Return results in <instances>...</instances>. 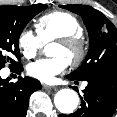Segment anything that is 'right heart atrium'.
Masks as SVG:
<instances>
[{"label": "right heart atrium", "mask_w": 117, "mask_h": 117, "mask_svg": "<svg viewBox=\"0 0 117 117\" xmlns=\"http://www.w3.org/2000/svg\"><path fill=\"white\" fill-rule=\"evenodd\" d=\"M17 43L21 53L26 58L34 57L43 46L38 35L34 34L31 30L22 31L18 36Z\"/></svg>", "instance_id": "right-heart-atrium-1"}]
</instances>
